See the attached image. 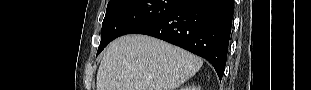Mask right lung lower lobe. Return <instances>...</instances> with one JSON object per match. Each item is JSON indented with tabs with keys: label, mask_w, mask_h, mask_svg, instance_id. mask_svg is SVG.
Listing matches in <instances>:
<instances>
[{
	"label": "right lung lower lobe",
	"mask_w": 311,
	"mask_h": 90,
	"mask_svg": "<svg viewBox=\"0 0 311 90\" xmlns=\"http://www.w3.org/2000/svg\"><path fill=\"white\" fill-rule=\"evenodd\" d=\"M233 0H182L138 34L150 35L208 60L221 80L232 26Z\"/></svg>",
	"instance_id": "98d812e1"
}]
</instances>
